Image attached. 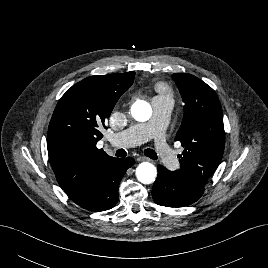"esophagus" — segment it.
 <instances>
[{"mask_svg": "<svg viewBox=\"0 0 268 268\" xmlns=\"http://www.w3.org/2000/svg\"><path fill=\"white\" fill-rule=\"evenodd\" d=\"M148 160H149V158H147V157H145V156H139V157L137 158V161H138V162L148 161Z\"/></svg>", "mask_w": 268, "mask_h": 268, "instance_id": "obj_1", "label": "esophagus"}]
</instances>
